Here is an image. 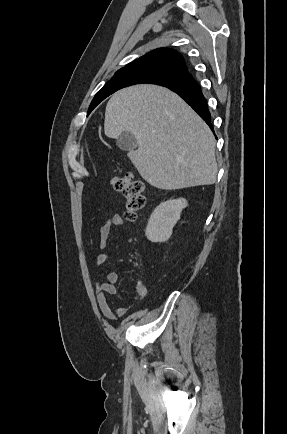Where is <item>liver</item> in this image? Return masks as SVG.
<instances>
[{
  "label": "liver",
  "mask_w": 287,
  "mask_h": 434,
  "mask_svg": "<svg viewBox=\"0 0 287 434\" xmlns=\"http://www.w3.org/2000/svg\"><path fill=\"white\" fill-rule=\"evenodd\" d=\"M104 132L116 139L132 133L138 149L129 158L141 177L162 190L214 184L216 140L207 124L176 93L136 85L111 97Z\"/></svg>",
  "instance_id": "liver-1"
}]
</instances>
